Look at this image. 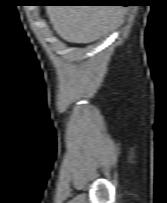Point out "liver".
Masks as SVG:
<instances>
[{"label": "liver", "instance_id": "liver-1", "mask_svg": "<svg viewBox=\"0 0 167 203\" xmlns=\"http://www.w3.org/2000/svg\"><path fill=\"white\" fill-rule=\"evenodd\" d=\"M57 34L71 43H90L112 30L122 16L119 6L53 5L46 8Z\"/></svg>", "mask_w": 167, "mask_h": 203}]
</instances>
